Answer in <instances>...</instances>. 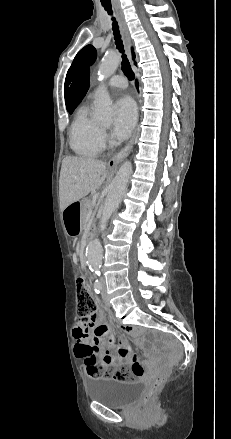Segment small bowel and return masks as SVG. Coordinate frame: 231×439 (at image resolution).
<instances>
[{
  "instance_id": "1",
  "label": "small bowel",
  "mask_w": 231,
  "mask_h": 439,
  "mask_svg": "<svg viewBox=\"0 0 231 439\" xmlns=\"http://www.w3.org/2000/svg\"><path fill=\"white\" fill-rule=\"evenodd\" d=\"M104 311H97L92 321L85 325L78 323L73 329L75 339V355L84 359L97 360L100 358L105 364L115 365H142L138 357L132 353L129 345H115V336L109 325L103 323Z\"/></svg>"
}]
</instances>
